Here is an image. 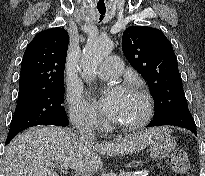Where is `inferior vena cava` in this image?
I'll use <instances>...</instances> for the list:
<instances>
[{"label":"inferior vena cava","instance_id":"obj_1","mask_svg":"<svg viewBox=\"0 0 205 176\" xmlns=\"http://www.w3.org/2000/svg\"><path fill=\"white\" fill-rule=\"evenodd\" d=\"M77 129L80 133V139L87 142H95L94 128L87 122H80L77 124Z\"/></svg>","mask_w":205,"mask_h":176}]
</instances>
